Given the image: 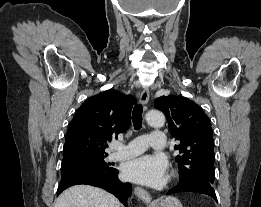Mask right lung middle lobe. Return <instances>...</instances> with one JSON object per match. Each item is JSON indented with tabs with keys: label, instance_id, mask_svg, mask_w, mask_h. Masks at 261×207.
<instances>
[{
	"label": "right lung middle lobe",
	"instance_id": "dd1d6c3e",
	"mask_svg": "<svg viewBox=\"0 0 261 207\" xmlns=\"http://www.w3.org/2000/svg\"><path fill=\"white\" fill-rule=\"evenodd\" d=\"M106 156H84L62 161L61 174L64 175L84 170H106L112 166L110 163L104 161Z\"/></svg>",
	"mask_w": 261,
	"mask_h": 207
}]
</instances>
